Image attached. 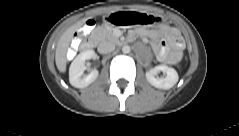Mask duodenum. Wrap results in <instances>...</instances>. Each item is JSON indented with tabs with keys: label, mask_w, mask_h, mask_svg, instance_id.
<instances>
[{
	"label": "duodenum",
	"mask_w": 239,
	"mask_h": 136,
	"mask_svg": "<svg viewBox=\"0 0 239 136\" xmlns=\"http://www.w3.org/2000/svg\"><path fill=\"white\" fill-rule=\"evenodd\" d=\"M81 42H82V35H78L74 38L73 43H74L75 46H79L81 44ZM92 46H93V41L92 40H87L82 44V49L83 50H89V49L92 48Z\"/></svg>",
	"instance_id": "410a0bca"
}]
</instances>
